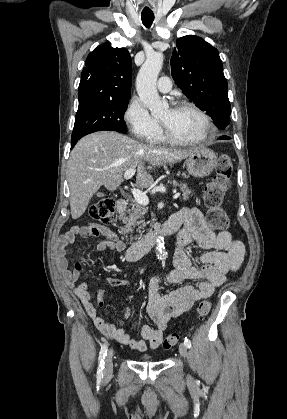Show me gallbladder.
Returning a JSON list of instances; mask_svg holds the SVG:
<instances>
[{
	"label": "gallbladder",
	"instance_id": "gallbladder-1",
	"mask_svg": "<svg viewBox=\"0 0 287 419\" xmlns=\"http://www.w3.org/2000/svg\"><path fill=\"white\" fill-rule=\"evenodd\" d=\"M104 194L102 193V192H98L97 194H96V196L97 197H101V196H103Z\"/></svg>",
	"mask_w": 287,
	"mask_h": 419
}]
</instances>
